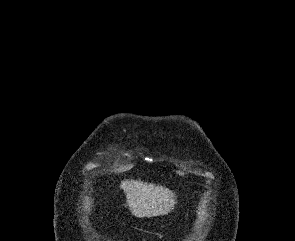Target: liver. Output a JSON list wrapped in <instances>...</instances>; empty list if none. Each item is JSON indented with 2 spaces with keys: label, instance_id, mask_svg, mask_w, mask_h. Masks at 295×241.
Segmentation results:
<instances>
[{
  "label": "liver",
  "instance_id": "obj_1",
  "mask_svg": "<svg viewBox=\"0 0 295 241\" xmlns=\"http://www.w3.org/2000/svg\"><path fill=\"white\" fill-rule=\"evenodd\" d=\"M123 189L131 213L139 218L166 215L177 203L175 194L168 188L137 180H124Z\"/></svg>",
  "mask_w": 295,
  "mask_h": 241
}]
</instances>
